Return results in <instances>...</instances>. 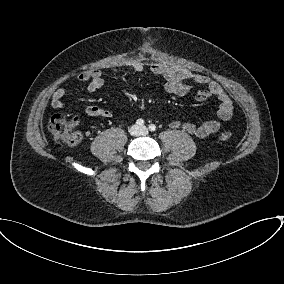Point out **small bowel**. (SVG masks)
<instances>
[{
	"label": "small bowel",
	"mask_w": 284,
	"mask_h": 284,
	"mask_svg": "<svg viewBox=\"0 0 284 284\" xmlns=\"http://www.w3.org/2000/svg\"><path fill=\"white\" fill-rule=\"evenodd\" d=\"M126 68L133 72H143L145 65L140 61H133L129 63ZM149 70L152 74L160 76L165 80V90L169 94L184 96L192 89L193 84H198L205 86V88L197 91L195 95L196 101L204 102L214 97L219 103L217 109L218 120H207L201 124L173 120L170 123L171 128L181 129L198 138H205L210 134L218 132L221 129V122L231 119L233 115V102L224 88L210 77L192 73L185 68L166 66L160 63L151 64ZM77 80L80 82H88V93H94L104 85L102 71L97 68L81 72L78 74ZM66 93L67 90L62 87L54 91L51 101V105L54 109L59 110L63 107V98ZM84 110L87 115L92 117L106 118L111 115L108 110L91 104L85 105Z\"/></svg>",
	"instance_id": "small-bowel-1"
}]
</instances>
